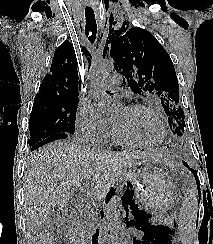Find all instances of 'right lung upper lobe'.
I'll return each instance as SVG.
<instances>
[{
    "label": "right lung upper lobe",
    "mask_w": 213,
    "mask_h": 244,
    "mask_svg": "<svg viewBox=\"0 0 213 244\" xmlns=\"http://www.w3.org/2000/svg\"><path fill=\"white\" fill-rule=\"evenodd\" d=\"M50 71L42 80L35 99H78L81 81L78 77L75 51L70 42L65 41L57 48Z\"/></svg>",
    "instance_id": "right-lung-upper-lobe-1"
}]
</instances>
